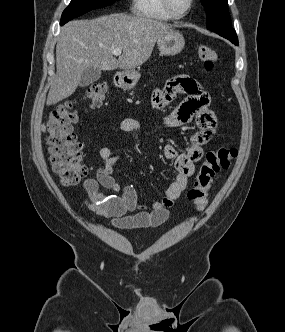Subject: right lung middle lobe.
<instances>
[{
	"instance_id": "dd1d6c3e",
	"label": "right lung middle lobe",
	"mask_w": 285,
	"mask_h": 332,
	"mask_svg": "<svg viewBox=\"0 0 285 332\" xmlns=\"http://www.w3.org/2000/svg\"><path fill=\"white\" fill-rule=\"evenodd\" d=\"M115 0H71L70 5L64 10L60 25L96 8L113 4Z\"/></svg>"
}]
</instances>
